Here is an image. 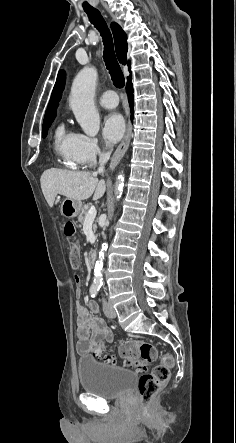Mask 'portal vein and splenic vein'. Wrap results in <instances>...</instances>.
<instances>
[{
  "mask_svg": "<svg viewBox=\"0 0 236 443\" xmlns=\"http://www.w3.org/2000/svg\"><path fill=\"white\" fill-rule=\"evenodd\" d=\"M97 211L94 207L90 208L86 218H85V222H93L95 217H96Z\"/></svg>",
  "mask_w": 236,
  "mask_h": 443,
  "instance_id": "1",
  "label": "portal vein and splenic vein"
}]
</instances>
